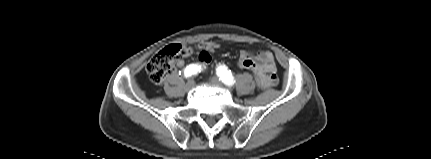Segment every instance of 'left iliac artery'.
<instances>
[{
    "label": "left iliac artery",
    "mask_w": 431,
    "mask_h": 159,
    "mask_svg": "<svg viewBox=\"0 0 431 159\" xmlns=\"http://www.w3.org/2000/svg\"><path fill=\"white\" fill-rule=\"evenodd\" d=\"M216 74L219 76V79L226 85L232 86L235 83L234 77L231 74V71L225 65H220L216 69Z\"/></svg>",
    "instance_id": "1"
}]
</instances>
